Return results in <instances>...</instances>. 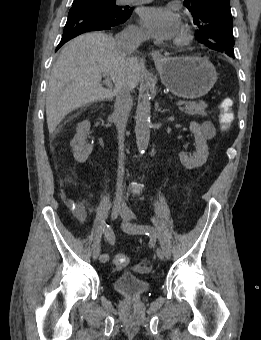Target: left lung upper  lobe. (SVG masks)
<instances>
[{"label":"left lung upper lobe","instance_id":"1","mask_svg":"<svg viewBox=\"0 0 261 340\" xmlns=\"http://www.w3.org/2000/svg\"><path fill=\"white\" fill-rule=\"evenodd\" d=\"M200 43L219 52L234 53V37L229 0H189Z\"/></svg>","mask_w":261,"mask_h":340}]
</instances>
